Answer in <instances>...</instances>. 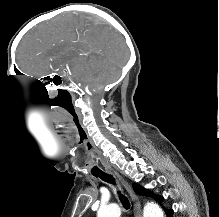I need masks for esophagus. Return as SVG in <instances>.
Here are the masks:
<instances>
[{"label": "esophagus", "mask_w": 219, "mask_h": 217, "mask_svg": "<svg viewBox=\"0 0 219 217\" xmlns=\"http://www.w3.org/2000/svg\"><path fill=\"white\" fill-rule=\"evenodd\" d=\"M109 173L113 174L118 178V180L122 183V185L126 188L131 201L133 202L135 217H142L141 203L138 196L133 191L131 185L121 176L119 173L113 170H109Z\"/></svg>", "instance_id": "obj_1"}]
</instances>
